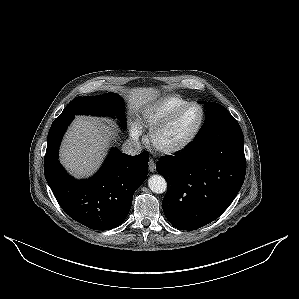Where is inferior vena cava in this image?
Masks as SVG:
<instances>
[{
  "label": "inferior vena cava",
  "mask_w": 299,
  "mask_h": 299,
  "mask_svg": "<svg viewBox=\"0 0 299 299\" xmlns=\"http://www.w3.org/2000/svg\"><path fill=\"white\" fill-rule=\"evenodd\" d=\"M122 151L128 155H138L142 151V146L138 141L127 140L122 145Z\"/></svg>",
  "instance_id": "inferior-vena-cava-1"
}]
</instances>
